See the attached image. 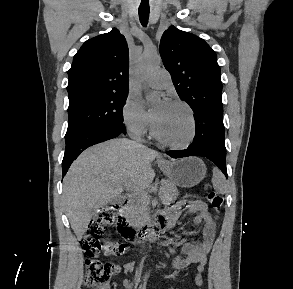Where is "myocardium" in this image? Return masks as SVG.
Listing matches in <instances>:
<instances>
[{"instance_id":"obj_1","label":"myocardium","mask_w":293,"mask_h":289,"mask_svg":"<svg viewBox=\"0 0 293 289\" xmlns=\"http://www.w3.org/2000/svg\"><path fill=\"white\" fill-rule=\"evenodd\" d=\"M171 104L180 105L187 110L189 114V118H190V124H191L188 138L184 142H181V143L169 142L158 135L154 123L151 126V135L158 143H160L163 146H166L172 149H178V150L187 149L188 147L192 145L197 134V124H196L194 111L188 103L182 100H173Z\"/></svg>"}]
</instances>
